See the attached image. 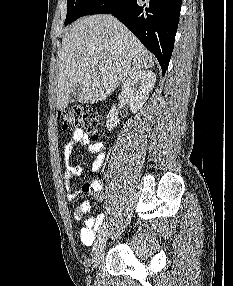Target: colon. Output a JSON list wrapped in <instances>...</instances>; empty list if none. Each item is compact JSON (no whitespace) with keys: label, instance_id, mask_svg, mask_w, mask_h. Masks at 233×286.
Segmentation results:
<instances>
[{"label":"colon","instance_id":"obj_1","mask_svg":"<svg viewBox=\"0 0 233 286\" xmlns=\"http://www.w3.org/2000/svg\"><path fill=\"white\" fill-rule=\"evenodd\" d=\"M58 119L62 122L63 130L67 133L76 127H81L94 139L98 136L101 126L100 115L92 108L76 107L69 110L60 111ZM98 182H88L83 186L86 192L92 193L100 189Z\"/></svg>","mask_w":233,"mask_h":286}]
</instances>
